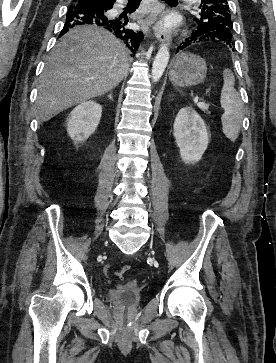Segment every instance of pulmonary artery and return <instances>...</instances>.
<instances>
[{
  "instance_id": "pulmonary-artery-1",
  "label": "pulmonary artery",
  "mask_w": 276,
  "mask_h": 363,
  "mask_svg": "<svg viewBox=\"0 0 276 363\" xmlns=\"http://www.w3.org/2000/svg\"><path fill=\"white\" fill-rule=\"evenodd\" d=\"M183 1H194V0H183Z\"/></svg>"
}]
</instances>
